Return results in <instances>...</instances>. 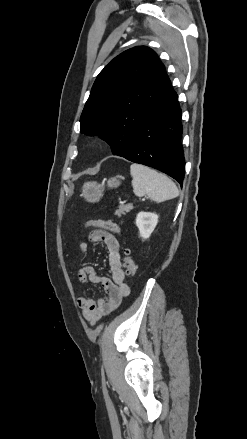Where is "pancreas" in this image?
Wrapping results in <instances>:
<instances>
[{
    "instance_id": "obj_1",
    "label": "pancreas",
    "mask_w": 247,
    "mask_h": 439,
    "mask_svg": "<svg viewBox=\"0 0 247 439\" xmlns=\"http://www.w3.org/2000/svg\"><path fill=\"white\" fill-rule=\"evenodd\" d=\"M133 209L132 204H126V205H119L118 210H116L115 215H117L119 218L122 215H125L126 213L130 212Z\"/></svg>"
}]
</instances>
